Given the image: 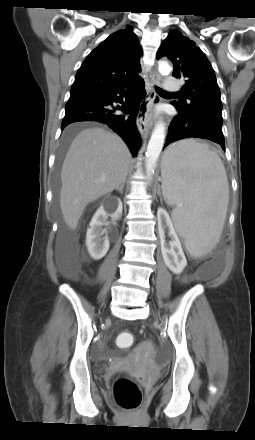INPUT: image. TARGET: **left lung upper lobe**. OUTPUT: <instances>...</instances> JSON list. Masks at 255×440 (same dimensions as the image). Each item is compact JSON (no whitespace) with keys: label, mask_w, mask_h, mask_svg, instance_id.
I'll return each instance as SVG.
<instances>
[{"label":"left lung upper lobe","mask_w":255,"mask_h":440,"mask_svg":"<svg viewBox=\"0 0 255 440\" xmlns=\"http://www.w3.org/2000/svg\"><path fill=\"white\" fill-rule=\"evenodd\" d=\"M166 56L173 63V76L184 78L180 92L185 99L172 104L185 114H205L222 119L220 89L211 63L195 42L172 30L157 52V59Z\"/></svg>","instance_id":"5c2ea615"}]
</instances>
